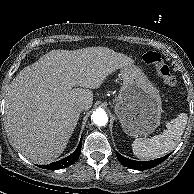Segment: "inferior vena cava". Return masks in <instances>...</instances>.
Listing matches in <instances>:
<instances>
[{"instance_id": "602c4592", "label": "inferior vena cava", "mask_w": 194, "mask_h": 194, "mask_svg": "<svg viewBox=\"0 0 194 194\" xmlns=\"http://www.w3.org/2000/svg\"><path fill=\"white\" fill-rule=\"evenodd\" d=\"M74 108L77 112H81L85 109V106L83 104H77Z\"/></svg>"}]
</instances>
